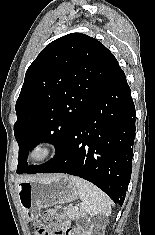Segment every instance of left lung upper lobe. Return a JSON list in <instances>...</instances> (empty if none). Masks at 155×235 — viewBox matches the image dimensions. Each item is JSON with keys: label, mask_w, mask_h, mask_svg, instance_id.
<instances>
[{"label": "left lung upper lobe", "mask_w": 155, "mask_h": 235, "mask_svg": "<svg viewBox=\"0 0 155 235\" xmlns=\"http://www.w3.org/2000/svg\"><path fill=\"white\" fill-rule=\"evenodd\" d=\"M117 66L104 45L81 33L58 38L40 52L27 69L15 106L18 174L37 173L52 160L29 165L28 151L45 141L57 154Z\"/></svg>", "instance_id": "obj_1"}]
</instances>
